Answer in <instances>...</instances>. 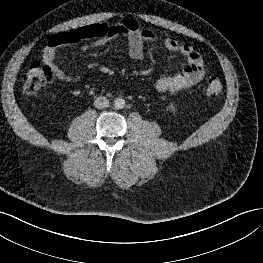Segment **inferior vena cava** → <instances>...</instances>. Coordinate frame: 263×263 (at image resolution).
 I'll return each instance as SVG.
<instances>
[{
	"label": "inferior vena cava",
	"instance_id": "1",
	"mask_svg": "<svg viewBox=\"0 0 263 263\" xmlns=\"http://www.w3.org/2000/svg\"><path fill=\"white\" fill-rule=\"evenodd\" d=\"M94 106L98 109L107 108L109 106V100L104 96H99L95 99Z\"/></svg>",
	"mask_w": 263,
	"mask_h": 263
}]
</instances>
